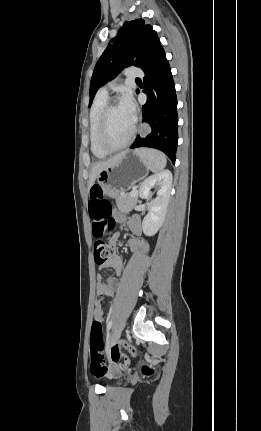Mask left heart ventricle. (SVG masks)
I'll use <instances>...</instances> for the list:
<instances>
[{
	"label": "left heart ventricle",
	"instance_id": "left-heart-ventricle-1",
	"mask_svg": "<svg viewBox=\"0 0 261 431\" xmlns=\"http://www.w3.org/2000/svg\"><path fill=\"white\" fill-rule=\"evenodd\" d=\"M134 120L117 104L109 113L107 120V138L113 145L121 144L126 140L133 127Z\"/></svg>",
	"mask_w": 261,
	"mask_h": 431
}]
</instances>
